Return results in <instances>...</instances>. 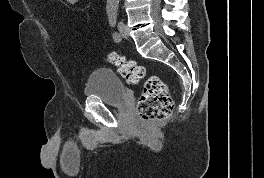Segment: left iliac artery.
<instances>
[{
    "instance_id": "left-iliac-artery-1",
    "label": "left iliac artery",
    "mask_w": 264,
    "mask_h": 178,
    "mask_svg": "<svg viewBox=\"0 0 264 178\" xmlns=\"http://www.w3.org/2000/svg\"><path fill=\"white\" fill-rule=\"evenodd\" d=\"M108 18H109L110 26L114 27L117 20V11L116 10L109 11ZM113 39L116 42L120 41L121 39L119 33H117L116 31L113 33Z\"/></svg>"
}]
</instances>
